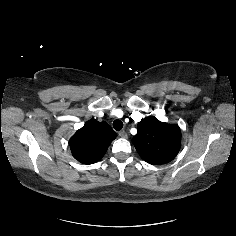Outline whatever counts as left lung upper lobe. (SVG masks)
Returning a JSON list of instances; mask_svg holds the SVG:
<instances>
[{"instance_id":"5c2ea615","label":"left lung upper lobe","mask_w":236,"mask_h":236,"mask_svg":"<svg viewBox=\"0 0 236 236\" xmlns=\"http://www.w3.org/2000/svg\"><path fill=\"white\" fill-rule=\"evenodd\" d=\"M132 142L143 160L161 165L170 162L178 154L181 131L178 125L160 122L149 116L138 123Z\"/></svg>"}]
</instances>
